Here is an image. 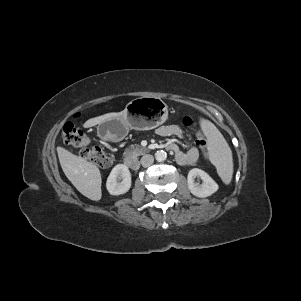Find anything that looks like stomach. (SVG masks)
I'll return each mask as SVG.
<instances>
[{
    "label": "stomach",
    "mask_w": 301,
    "mask_h": 301,
    "mask_svg": "<svg viewBox=\"0 0 301 301\" xmlns=\"http://www.w3.org/2000/svg\"><path fill=\"white\" fill-rule=\"evenodd\" d=\"M168 118L164 102L156 97H140L130 101L125 114L107 120L98 126V134L108 141L122 140L129 129L150 130L163 124Z\"/></svg>",
    "instance_id": "0dacf381"
}]
</instances>
